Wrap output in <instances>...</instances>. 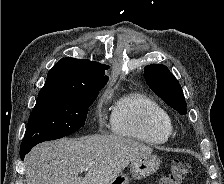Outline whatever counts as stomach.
I'll use <instances>...</instances> for the list:
<instances>
[{
    "instance_id": "stomach-1",
    "label": "stomach",
    "mask_w": 224,
    "mask_h": 184,
    "mask_svg": "<svg viewBox=\"0 0 224 184\" xmlns=\"http://www.w3.org/2000/svg\"><path fill=\"white\" fill-rule=\"evenodd\" d=\"M160 160L155 155H149L137 159L130 164L131 176L135 180L146 178L156 172L159 168ZM107 184H129V177L125 174H119Z\"/></svg>"
}]
</instances>
